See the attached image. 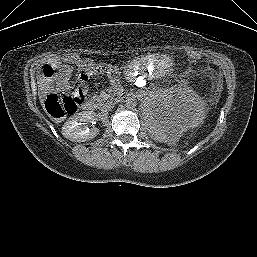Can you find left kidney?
I'll return each instance as SVG.
<instances>
[{
	"label": "left kidney",
	"instance_id": "obj_1",
	"mask_svg": "<svg viewBox=\"0 0 257 257\" xmlns=\"http://www.w3.org/2000/svg\"><path fill=\"white\" fill-rule=\"evenodd\" d=\"M199 96L188 88L165 90L154 95L146 105L151 136L160 142H176L190 128L204 119Z\"/></svg>",
	"mask_w": 257,
	"mask_h": 257
}]
</instances>
